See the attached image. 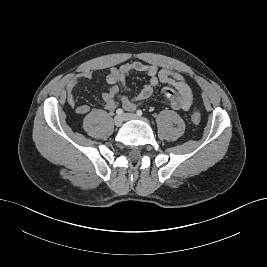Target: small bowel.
Instances as JSON below:
<instances>
[{"label": "small bowel", "mask_w": 267, "mask_h": 267, "mask_svg": "<svg viewBox=\"0 0 267 267\" xmlns=\"http://www.w3.org/2000/svg\"><path fill=\"white\" fill-rule=\"evenodd\" d=\"M133 72L144 73L148 77V83L137 95L128 97L123 91H129L127 79ZM92 77L93 72L86 70L71 77L66 83L67 104L75 108L79 115L88 114L90 106L87 104L77 105L74 90L81 80H89ZM106 82L108 89L102 93V100L104 108L107 110L121 106L125 110L133 111L144 100L152 96L154 88L159 84L165 85L162 88V94L172 108L186 111L193 104L192 91L186 79L172 69L158 67L154 64L135 61L122 64L119 67H112L106 76Z\"/></svg>", "instance_id": "c3829d8e"}]
</instances>
